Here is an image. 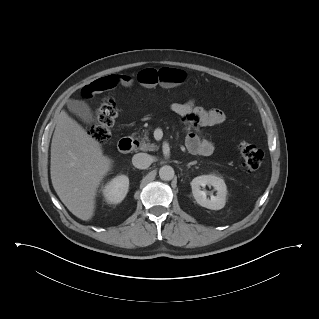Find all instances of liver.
Returning <instances> with one entry per match:
<instances>
[{
    "mask_svg": "<svg viewBox=\"0 0 319 319\" xmlns=\"http://www.w3.org/2000/svg\"><path fill=\"white\" fill-rule=\"evenodd\" d=\"M111 167L99 142L61 111L52 137L50 174L54 190L73 215L85 221L93 217L97 189Z\"/></svg>",
    "mask_w": 319,
    "mask_h": 319,
    "instance_id": "1",
    "label": "liver"
}]
</instances>
